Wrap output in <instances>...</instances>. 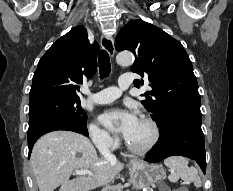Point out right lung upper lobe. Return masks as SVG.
Wrapping results in <instances>:
<instances>
[{
	"label": "right lung upper lobe",
	"mask_w": 233,
	"mask_h": 191,
	"mask_svg": "<svg viewBox=\"0 0 233 191\" xmlns=\"http://www.w3.org/2000/svg\"><path fill=\"white\" fill-rule=\"evenodd\" d=\"M98 50L97 43H89L85 27L72 28L39 60L29 99L49 93L80 99L77 84L95 74Z\"/></svg>",
	"instance_id": "cb5924a9"
}]
</instances>
